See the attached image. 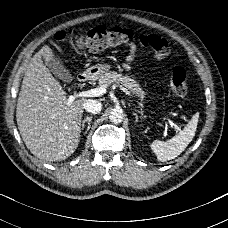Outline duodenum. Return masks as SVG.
Segmentation results:
<instances>
[{"mask_svg":"<svg viewBox=\"0 0 228 228\" xmlns=\"http://www.w3.org/2000/svg\"><path fill=\"white\" fill-rule=\"evenodd\" d=\"M91 75H92V73L90 71L81 72L77 76V81L78 82L88 81L90 79Z\"/></svg>","mask_w":228,"mask_h":228,"instance_id":"obj_1","label":"duodenum"}]
</instances>
